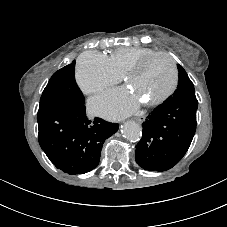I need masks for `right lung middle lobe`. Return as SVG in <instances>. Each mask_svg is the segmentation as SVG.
Returning a JSON list of instances; mask_svg holds the SVG:
<instances>
[{
    "mask_svg": "<svg viewBox=\"0 0 227 227\" xmlns=\"http://www.w3.org/2000/svg\"><path fill=\"white\" fill-rule=\"evenodd\" d=\"M74 73L75 61L56 71L42 93L39 108L49 104L84 101V96L75 82Z\"/></svg>",
    "mask_w": 227,
    "mask_h": 227,
    "instance_id": "right-lung-middle-lobe-1",
    "label": "right lung middle lobe"
}]
</instances>
